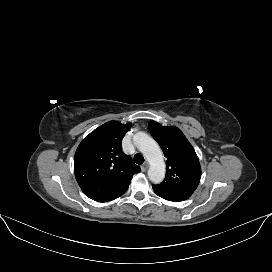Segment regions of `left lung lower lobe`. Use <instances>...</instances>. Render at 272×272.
<instances>
[{
  "instance_id": "left-lung-lower-lobe-1",
  "label": "left lung lower lobe",
  "mask_w": 272,
  "mask_h": 272,
  "mask_svg": "<svg viewBox=\"0 0 272 272\" xmlns=\"http://www.w3.org/2000/svg\"><path fill=\"white\" fill-rule=\"evenodd\" d=\"M154 192H155L158 196L162 197L163 199L169 200V201H174V202L183 201V200H181V199L174 198V197H171V196H168V195H165V194L156 192V191H154Z\"/></svg>"
}]
</instances>
